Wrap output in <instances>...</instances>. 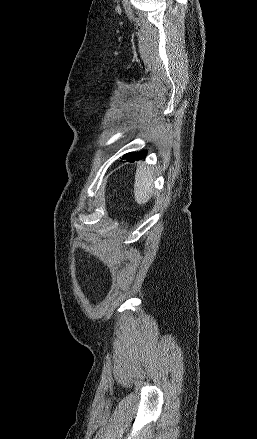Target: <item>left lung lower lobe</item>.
I'll return each instance as SVG.
<instances>
[{
	"label": "left lung lower lobe",
	"instance_id": "1",
	"mask_svg": "<svg viewBox=\"0 0 257 439\" xmlns=\"http://www.w3.org/2000/svg\"><path fill=\"white\" fill-rule=\"evenodd\" d=\"M147 155V151H139V152H131L130 154L123 156V159L127 160L128 162H134L136 160H141L145 158Z\"/></svg>",
	"mask_w": 257,
	"mask_h": 439
}]
</instances>
